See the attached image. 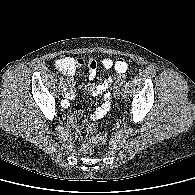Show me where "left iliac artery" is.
I'll return each instance as SVG.
<instances>
[{
    "label": "left iliac artery",
    "mask_w": 195,
    "mask_h": 195,
    "mask_svg": "<svg viewBox=\"0 0 195 195\" xmlns=\"http://www.w3.org/2000/svg\"><path fill=\"white\" fill-rule=\"evenodd\" d=\"M129 85H130V82H127V83L125 84L126 87H128Z\"/></svg>",
    "instance_id": "44dca946"
}]
</instances>
